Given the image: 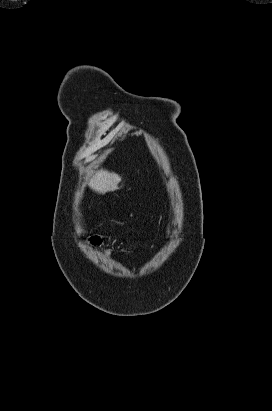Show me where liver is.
<instances>
[{"label":"liver","mask_w":272,"mask_h":411,"mask_svg":"<svg viewBox=\"0 0 272 411\" xmlns=\"http://www.w3.org/2000/svg\"><path fill=\"white\" fill-rule=\"evenodd\" d=\"M121 182V177L107 170L98 171L89 180L88 185L94 191L105 194L107 192L118 190V184Z\"/></svg>","instance_id":"6515ba94"}]
</instances>
